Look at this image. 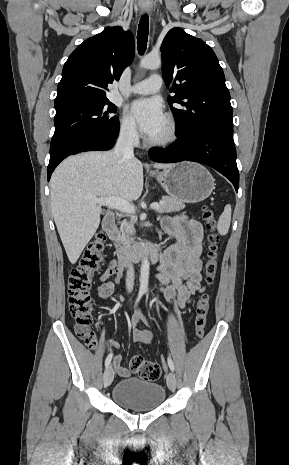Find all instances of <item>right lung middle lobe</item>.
Returning <instances> with one entry per match:
<instances>
[{
    "mask_svg": "<svg viewBox=\"0 0 289 465\" xmlns=\"http://www.w3.org/2000/svg\"><path fill=\"white\" fill-rule=\"evenodd\" d=\"M55 132L50 155L87 135H108L119 127L117 108L108 99L79 100L55 105Z\"/></svg>",
    "mask_w": 289,
    "mask_h": 465,
    "instance_id": "right-lung-middle-lobe-1",
    "label": "right lung middle lobe"
}]
</instances>
